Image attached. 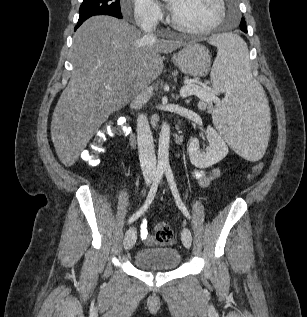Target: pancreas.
<instances>
[{"mask_svg":"<svg viewBox=\"0 0 307 317\" xmlns=\"http://www.w3.org/2000/svg\"><path fill=\"white\" fill-rule=\"evenodd\" d=\"M208 110H209L210 112H212V111H213L212 106H211V104H210V103H208Z\"/></svg>","mask_w":307,"mask_h":317,"instance_id":"cf45deb5","label":"pancreas"}]
</instances>
